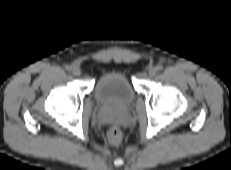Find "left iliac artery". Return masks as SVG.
Returning <instances> with one entry per match:
<instances>
[{
  "label": "left iliac artery",
  "mask_w": 231,
  "mask_h": 170,
  "mask_svg": "<svg viewBox=\"0 0 231 170\" xmlns=\"http://www.w3.org/2000/svg\"><path fill=\"white\" fill-rule=\"evenodd\" d=\"M157 70H159V71H161V70H163V66L162 65H157Z\"/></svg>",
  "instance_id": "left-iliac-artery-1"
}]
</instances>
